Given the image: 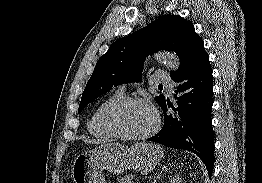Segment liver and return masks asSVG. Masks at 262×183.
<instances>
[{
  "label": "liver",
  "mask_w": 262,
  "mask_h": 183,
  "mask_svg": "<svg viewBox=\"0 0 262 183\" xmlns=\"http://www.w3.org/2000/svg\"><path fill=\"white\" fill-rule=\"evenodd\" d=\"M85 143H89V144H101L104 142H108V140H103V139H91V140H85Z\"/></svg>",
  "instance_id": "1"
}]
</instances>
